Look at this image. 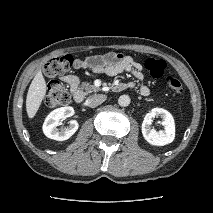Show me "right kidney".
I'll return each mask as SVG.
<instances>
[{
    "instance_id": "right-kidney-1",
    "label": "right kidney",
    "mask_w": 213,
    "mask_h": 213,
    "mask_svg": "<svg viewBox=\"0 0 213 213\" xmlns=\"http://www.w3.org/2000/svg\"><path fill=\"white\" fill-rule=\"evenodd\" d=\"M74 109L71 106L61 107L53 110L45 119L43 124V133L50 139L64 141L69 139L77 130L78 123L75 120L70 121L69 126L58 130L59 120L71 117Z\"/></svg>"
}]
</instances>
